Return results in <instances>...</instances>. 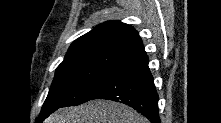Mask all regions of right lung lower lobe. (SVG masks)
Listing matches in <instances>:
<instances>
[{"instance_id":"1","label":"right lung lower lobe","mask_w":221,"mask_h":123,"mask_svg":"<svg viewBox=\"0 0 221 123\" xmlns=\"http://www.w3.org/2000/svg\"><path fill=\"white\" fill-rule=\"evenodd\" d=\"M148 62L145 52L131 57L95 86L89 100L121 102L142 113L152 123H159L158 94ZM49 115L39 116V120L43 121Z\"/></svg>"}]
</instances>
